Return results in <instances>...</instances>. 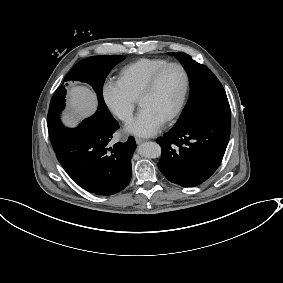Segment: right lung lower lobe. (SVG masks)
<instances>
[{
	"label": "right lung lower lobe",
	"mask_w": 283,
	"mask_h": 283,
	"mask_svg": "<svg viewBox=\"0 0 283 283\" xmlns=\"http://www.w3.org/2000/svg\"><path fill=\"white\" fill-rule=\"evenodd\" d=\"M119 127L111 114L95 113L77 128L56 156L67 174L85 190L112 195L123 190L132 176L131 158L136 148L130 136L125 143H108Z\"/></svg>",
	"instance_id": "obj_1"
}]
</instances>
